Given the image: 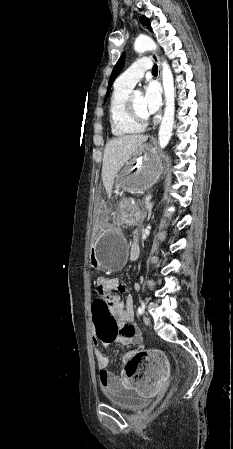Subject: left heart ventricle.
Instances as JSON below:
<instances>
[{
  "label": "left heart ventricle",
  "instance_id": "b2bd125f",
  "mask_svg": "<svg viewBox=\"0 0 233 449\" xmlns=\"http://www.w3.org/2000/svg\"><path fill=\"white\" fill-rule=\"evenodd\" d=\"M133 100H134V104H135L137 111L142 115H146L147 112L145 110L143 96L141 94H135L133 96Z\"/></svg>",
  "mask_w": 233,
  "mask_h": 449
}]
</instances>
